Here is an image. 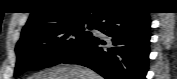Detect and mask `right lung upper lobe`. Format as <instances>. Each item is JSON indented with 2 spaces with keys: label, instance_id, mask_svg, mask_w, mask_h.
I'll return each instance as SVG.
<instances>
[{
  "label": "right lung upper lobe",
  "instance_id": "obj_1",
  "mask_svg": "<svg viewBox=\"0 0 177 79\" xmlns=\"http://www.w3.org/2000/svg\"><path fill=\"white\" fill-rule=\"evenodd\" d=\"M88 3L86 0H39L34 3L24 37L39 29L75 21H92L102 10L115 6L112 3Z\"/></svg>",
  "mask_w": 177,
  "mask_h": 79
}]
</instances>
